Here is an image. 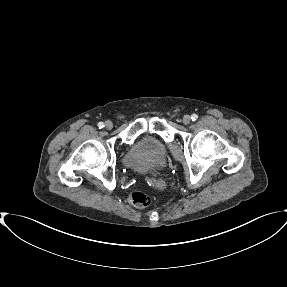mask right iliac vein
<instances>
[{
	"label": "right iliac vein",
	"mask_w": 287,
	"mask_h": 287,
	"mask_svg": "<svg viewBox=\"0 0 287 287\" xmlns=\"http://www.w3.org/2000/svg\"><path fill=\"white\" fill-rule=\"evenodd\" d=\"M112 127H113V124H112L111 121H106L105 122V128L106 129L110 130V129H112Z\"/></svg>",
	"instance_id": "right-iliac-vein-1"
}]
</instances>
